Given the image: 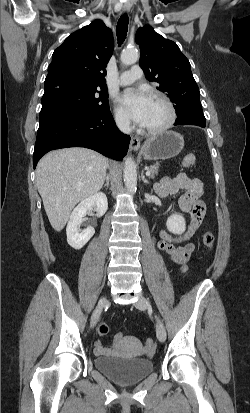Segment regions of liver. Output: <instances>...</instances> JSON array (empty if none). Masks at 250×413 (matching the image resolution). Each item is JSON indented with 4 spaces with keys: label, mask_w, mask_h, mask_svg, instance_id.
<instances>
[{
    "label": "liver",
    "mask_w": 250,
    "mask_h": 413,
    "mask_svg": "<svg viewBox=\"0 0 250 413\" xmlns=\"http://www.w3.org/2000/svg\"><path fill=\"white\" fill-rule=\"evenodd\" d=\"M108 160L86 148L46 154L36 168V184L51 226L61 231L74 206L103 186Z\"/></svg>",
    "instance_id": "1"
}]
</instances>
